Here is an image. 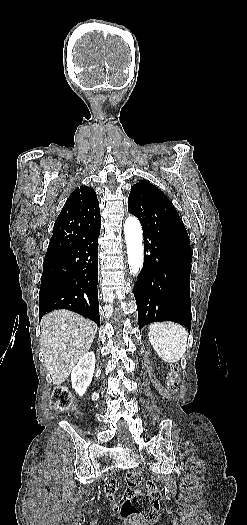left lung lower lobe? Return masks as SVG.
<instances>
[{
    "label": "left lung lower lobe",
    "mask_w": 247,
    "mask_h": 525,
    "mask_svg": "<svg viewBox=\"0 0 247 525\" xmlns=\"http://www.w3.org/2000/svg\"><path fill=\"white\" fill-rule=\"evenodd\" d=\"M143 237L144 263L134 286L139 328L174 321L190 331L191 256L152 230L143 229Z\"/></svg>",
    "instance_id": "obj_1"
}]
</instances>
